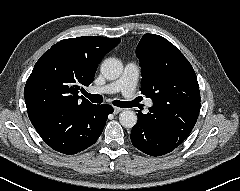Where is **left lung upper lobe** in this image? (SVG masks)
I'll list each match as a JSON object with an SVG mask.
<instances>
[{
    "label": "left lung upper lobe",
    "instance_id": "left-lung-upper-lobe-1",
    "mask_svg": "<svg viewBox=\"0 0 240 191\" xmlns=\"http://www.w3.org/2000/svg\"><path fill=\"white\" fill-rule=\"evenodd\" d=\"M136 55L142 69L141 93L153 100L150 112L175 117L182 112L200 111L196 74L185 56L167 39L145 34Z\"/></svg>",
    "mask_w": 240,
    "mask_h": 191
}]
</instances>
